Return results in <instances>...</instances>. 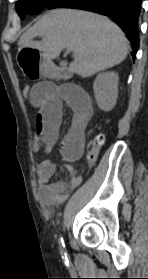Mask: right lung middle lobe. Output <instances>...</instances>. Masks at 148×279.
Listing matches in <instances>:
<instances>
[{
    "label": "right lung middle lobe",
    "instance_id": "obj_1",
    "mask_svg": "<svg viewBox=\"0 0 148 279\" xmlns=\"http://www.w3.org/2000/svg\"><path fill=\"white\" fill-rule=\"evenodd\" d=\"M55 1L57 0H19L15 7L20 18H24L26 14H35Z\"/></svg>",
    "mask_w": 148,
    "mask_h": 279
}]
</instances>
